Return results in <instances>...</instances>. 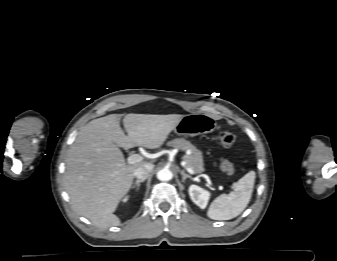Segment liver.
Returning <instances> with one entry per match:
<instances>
[{"label": "liver", "instance_id": "6515ba94", "mask_svg": "<svg viewBox=\"0 0 337 261\" xmlns=\"http://www.w3.org/2000/svg\"><path fill=\"white\" fill-rule=\"evenodd\" d=\"M183 115L127 114L120 127L121 114L94 119L83 126L66 158L64 187L72 207L96 227L118 226L114 214L129 192L134 170L147 162L126 164L118 148L143 146L157 149L180 122Z\"/></svg>", "mask_w": 337, "mask_h": 261}]
</instances>
